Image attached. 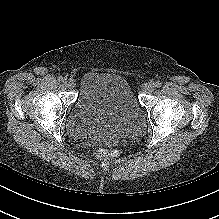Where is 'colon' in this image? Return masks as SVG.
Listing matches in <instances>:
<instances>
[{
    "label": "colon",
    "mask_w": 219,
    "mask_h": 219,
    "mask_svg": "<svg viewBox=\"0 0 219 219\" xmlns=\"http://www.w3.org/2000/svg\"><path fill=\"white\" fill-rule=\"evenodd\" d=\"M96 155L102 159H115L119 156V152L110 148H99L96 151Z\"/></svg>",
    "instance_id": "5ec220e1"
}]
</instances>
